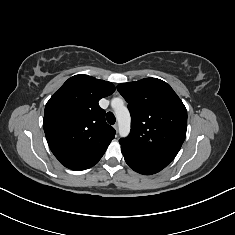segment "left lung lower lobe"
<instances>
[{"instance_id":"1","label":"left lung lower lobe","mask_w":235,"mask_h":235,"mask_svg":"<svg viewBox=\"0 0 235 235\" xmlns=\"http://www.w3.org/2000/svg\"><path fill=\"white\" fill-rule=\"evenodd\" d=\"M121 151L126 163L136 172L144 175H151L161 171L167 165L148 159L140 154L132 153L121 146Z\"/></svg>"}]
</instances>
